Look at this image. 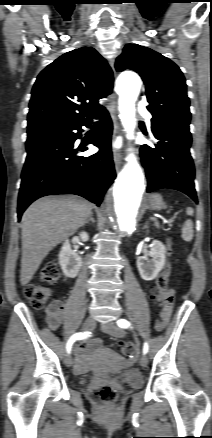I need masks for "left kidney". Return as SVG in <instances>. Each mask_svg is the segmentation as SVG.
Masks as SVG:
<instances>
[{"instance_id": "left-kidney-1", "label": "left kidney", "mask_w": 212, "mask_h": 438, "mask_svg": "<svg viewBox=\"0 0 212 438\" xmlns=\"http://www.w3.org/2000/svg\"><path fill=\"white\" fill-rule=\"evenodd\" d=\"M165 252L163 243L155 240L148 254L137 259V268L143 280L151 281L158 276L165 265Z\"/></svg>"}]
</instances>
